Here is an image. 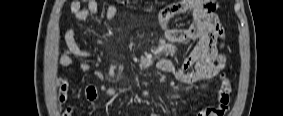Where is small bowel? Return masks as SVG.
Wrapping results in <instances>:
<instances>
[{
	"mask_svg": "<svg viewBox=\"0 0 283 116\" xmlns=\"http://www.w3.org/2000/svg\"><path fill=\"white\" fill-rule=\"evenodd\" d=\"M192 8V23L182 29L169 27V19L181 12ZM216 4L213 0H182L162 10V21L165 27V38L169 42H196L195 47L189 56L179 65L170 59H158L156 66L163 73L172 75L177 81L185 84H194L201 81L218 78L220 81L218 90V107L223 103H229L230 83L224 75L225 63L217 60L218 48L224 39V30L217 15L215 14ZM70 10L78 20H86L95 16L98 12L97 2L91 0L87 6L83 7L80 2L72 1ZM165 10V11H164ZM117 13L114 5H109L104 13V19L110 20ZM66 49L61 53L59 63L63 67L74 65L76 59H82L81 71L88 69L86 60L92 55L91 52L81 49L75 39V31L68 29L64 35ZM171 50L170 46L165 47V51ZM147 62H150L148 57ZM66 86L71 82L66 80ZM86 97L93 103L98 102V92L96 87L88 86L85 89ZM74 107L69 106L65 113L70 116L74 112ZM194 115L196 116H220L216 109L201 107ZM151 116H156L151 114Z\"/></svg>",
	"mask_w": 283,
	"mask_h": 116,
	"instance_id": "1",
	"label": "small bowel"
}]
</instances>
